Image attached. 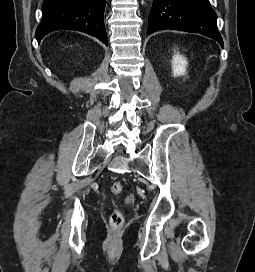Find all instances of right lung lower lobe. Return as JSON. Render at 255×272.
<instances>
[{
  "mask_svg": "<svg viewBox=\"0 0 255 272\" xmlns=\"http://www.w3.org/2000/svg\"><path fill=\"white\" fill-rule=\"evenodd\" d=\"M106 0H45L42 21L35 37L40 40L56 30H78L108 45L104 25Z\"/></svg>",
  "mask_w": 255,
  "mask_h": 272,
  "instance_id": "98d812e1",
  "label": "right lung lower lobe"
}]
</instances>
